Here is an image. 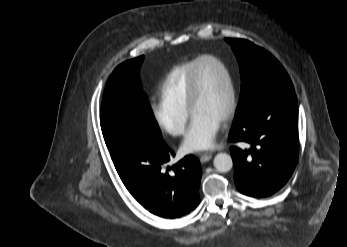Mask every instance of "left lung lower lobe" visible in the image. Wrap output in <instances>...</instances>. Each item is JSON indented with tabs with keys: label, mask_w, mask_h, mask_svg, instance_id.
Masks as SVG:
<instances>
[{
	"label": "left lung lower lobe",
	"mask_w": 347,
	"mask_h": 247,
	"mask_svg": "<svg viewBox=\"0 0 347 247\" xmlns=\"http://www.w3.org/2000/svg\"><path fill=\"white\" fill-rule=\"evenodd\" d=\"M229 140L243 145L231 147L238 190L254 197L277 192L291 177L298 159L295 92L278 91L262 98L234 120Z\"/></svg>",
	"instance_id": "left-lung-lower-lobe-1"
}]
</instances>
